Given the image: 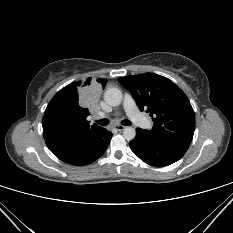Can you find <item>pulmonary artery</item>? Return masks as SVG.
<instances>
[{"label": "pulmonary artery", "instance_id": "obj_1", "mask_svg": "<svg viewBox=\"0 0 233 233\" xmlns=\"http://www.w3.org/2000/svg\"><path fill=\"white\" fill-rule=\"evenodd\" d=\"M123 107L128 117L141 128H149L151 126L150 120L141 114L137 109L136 103L130 94H126L123 101ZM104 117V114H100Z\"/></svg>", "mask_w": 233, "mask_h": 233}]
</instances>
